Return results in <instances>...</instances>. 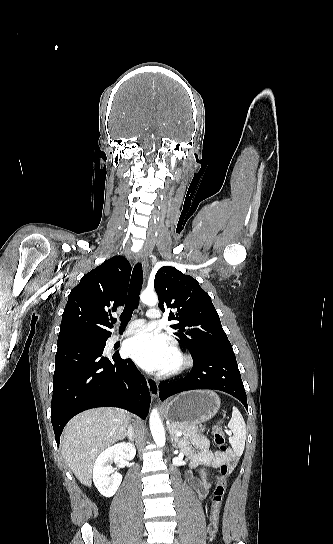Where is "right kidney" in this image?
Returning <instances> with one entry per match:
<instances>
[{
	"mask_svg": "<svg viewBox=\"0 0 333 544\" xmlns=\"http://www.w3.org/2000/svg\"><path fill=\"white\" fill-rule=\"evenodd\" d=\"M136 454L133 444L118 443L108 447L97 457L93 467V482L104 497H112L119 488L122 475L114 472L111 463L132 460Z\"/></svg>",
	"mask_w": 333,
	"mask_h": 544,
	"instance_id": "ca27d5eb",
	"label": "right kidney"
}]
</instances>
